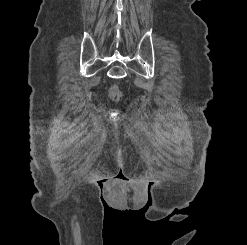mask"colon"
<instances>
[{"mask_svg":"<svg viewBox=\"0 0 247 245\" xmlns=\"http://www.w3.org/2000/svg\"><path fill=\"white\" fill-rule=\"evenodd\" d=\"M111 96H112L113 99H118L119 98L120 93H119V91L117 90L116 87H113L111 89Z\"/></svg>","mask_w":247,"mask_h":245,"instance_id":"obj_1","label":"colon"}]
</instances>
